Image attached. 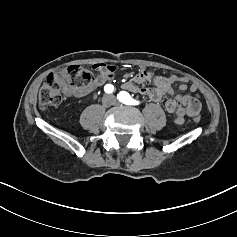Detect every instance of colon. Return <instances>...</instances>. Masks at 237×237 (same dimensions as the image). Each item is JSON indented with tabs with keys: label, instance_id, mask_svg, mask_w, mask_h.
Masks as SVG:
<instances>
[{
	"label": "colon",
	"instance_id": "obj_1",
	"mask_svg": "<svg viewBox=\"0 0 237 237\" xmlns=\"http://www.w3.org/2000/svg\"><path fill=\"white\" fill-rule=\"evenodd\" d=\"M94 80V74L79 65L69 66L60 73H51L46 77L40 89L39 106L41 109L56 106L62 102V90L65 86L73 89H85L91 86ZM193 120L198 123L201 117L196 114Z\"/></svg>",
	"mask_w": 237,
	"mask_h": 237
}]
</instances>
